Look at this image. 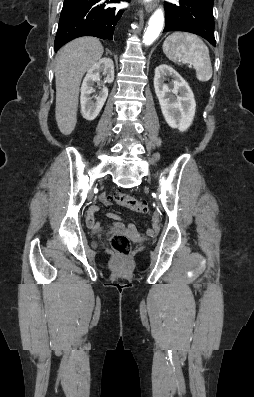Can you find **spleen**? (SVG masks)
I'll return each mask as SVG.
<instances>
[{
  "instance_id": "spleen-1",
  "label": "spleen",
  "mask_w": 254,
  "mask_h": 397,
  "mask_svg": "<svg viewBox=\"0 0 254 397\" xmlns=\"http://www.w3.org/2000/svg\"><path fill=\"white\" fill-rule=\"evenodd\" d=\"M162 48L173 62L193 65L199 81L206 82L211 79L213 71L209 49L198 36L187 32H174L165 39Z\"/></svg>"
}]
</instances>
